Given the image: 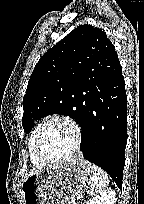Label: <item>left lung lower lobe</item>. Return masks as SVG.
Instances as JSON below:
<instances>
[{"label":"left lung lower lobe","instance_id":"0a47b994","mask_svg":"<svg viewBox=\"0 0 144 204\" xmlns=\"http://www.w3.org/2000/svg\"><path fill=\"white\" fill-rule=\"evenodd\" d=\"M96 71V72H95ZM81 149L86 160L105 170L121 188L127 142V97L119 59L93 69Z\"/></svg>","mask_w":144,"mask_h":204}]
</instances>
